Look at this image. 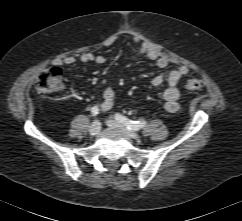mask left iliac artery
Segmentation results:
<instances>
[{
	"mask_svg": "<svg viewBox=\"0 0 242 221\" xmlns=\"http://www.w3.org/2000/svg\"><path fill=\"white\" fill-rule=\"evenodd\" d=\"M115 119L120 122L123 123L125 126H127L128 129H132L135 131L140 130L141 128H143L146 125V121L141 120V121H132L130 119H128L127 117L121 115V114H115Z\"/></svg>",
	"mask_w": 242,
	"mask_h": 221,
	"instance_id": "left-iliac-artery-1",
	"label": "left iliac artery"
}]
</instances>
